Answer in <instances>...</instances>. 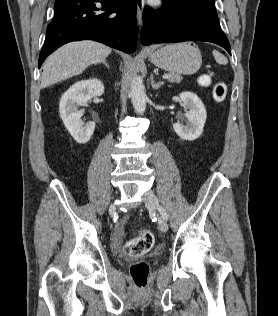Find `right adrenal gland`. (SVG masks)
I'll return each instance as SVG.
<instances>
[{
	"instance_id": "2a0ac1e0",
	"label": "right adrenal gland",
	"mask_w": 278,
	"mask_h": 316,
	"mask_svg": "<svg viewBox=\"0 0 278 316\" xmlns=\"http://www.w3.org/2000/svg\"><path fill=\"white\" fill-rule=\"evenodd\" d=\"M101 63L104 64L109 69V65H108L106 59H104Z\"/></svg>"
}]
</instances>
